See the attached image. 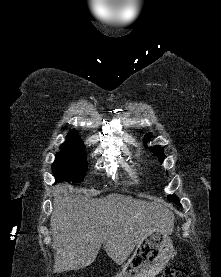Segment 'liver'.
<instances>
[{
    "label": "liver",
    "instance_id": "1",
    "mask_svg": "<svg viewBox=\"0 0 221 277\" xmlns=\"http://www.w3.org/2000/svg\"><path fill=\"white\" fill-rule=\"evenodd\" d=\"M173 221V213L160 204L117 193L96 199L69 195L67 186L59 184L50 218L54 272L89 266L102 245L115 263L122 264L150 233L170 234Z\"/></svg>",
    "mask_w": 221,
    "mask_h": 277
}]
</instances>
